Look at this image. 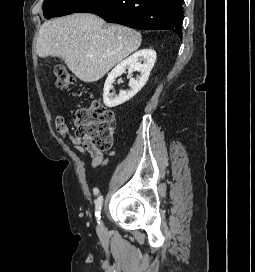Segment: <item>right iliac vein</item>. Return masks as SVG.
<instances>
[{
	"label": "right iliac vein",
	"instance_id": "63e3f726",
	"mask_svg": "<svg viewBox=\"0 0 255 272\" xmlns=\"http://www.w3.org/2000/svg\"><path fill=\"white\" fill-rule=\"evenodd\" d=\"M103 230H104V227H103L102 224H100V225L98 226V231H99V232H103Z\"/></svg>",
	"mask_w": 255,
	"mask_h": 272
}]
</instances>
